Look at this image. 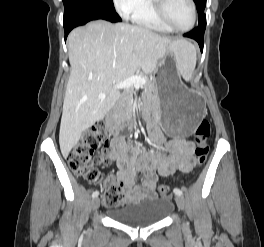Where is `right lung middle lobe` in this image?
<instances>
[{"label": "right lung middle lobe", "instance_id": "dd1d6c3e", "mask_svg": "<svg viewBox=\"0 0 264 247\" xmlns=\"http://www.w3.org/2000/svg\"><path fill=\"white\" fill-rule=\"evenodd\" d=\"M64 7L68 5H82L100 10L114 11L113 0H63Z\"/></svg>", "mask_w": 264, "mask_h": 247}]
</instances>
